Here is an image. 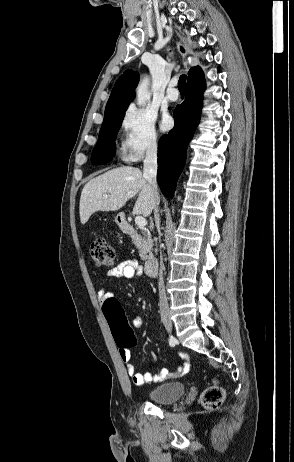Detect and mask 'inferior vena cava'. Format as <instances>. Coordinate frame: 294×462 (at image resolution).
<instances>
[{
	"instance_id": "inferior-vena-cava-1",
	"label": "inferior vena cava",
	"mask_w": 294,
	"mask_h": 462,
	"mask_svg": "<svg viewBox=\"0 0 294 462\" xmlns=\"http://www.w3.org/2000/svg\"><path fill=\"white\" fill-rule=\"evenodd\" d=\"M157 145L156 143L151 144L146 152V157L144 160V168H143V175L148 181L150 187H151V192H152V197L154 200V217L156 224H160V217H159V203H160V198L157 190ZM159 308H160V314H168L169 313V305L166 297V291H165V286H164V281H163V274L162 270H160L159 274Z\"/></svg>"
}]
</instances>
